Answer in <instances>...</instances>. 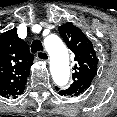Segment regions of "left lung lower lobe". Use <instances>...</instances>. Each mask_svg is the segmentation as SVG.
<instances>
[{"label":"left lung lower lobe","instance_id":"1","mask_svg":"<svg viewBox=\"0 0 117 117\" xmlns=\"http://www.w3.org/2000/svg\"><path fill=\"white\" fill-rule=\"evenodd\" d=\"M56 90L59 91L60 95H64V93L61 90H58L57 88H56Z\"/></svg>","mask_w":117,"mask_h":117}]
</instances>
